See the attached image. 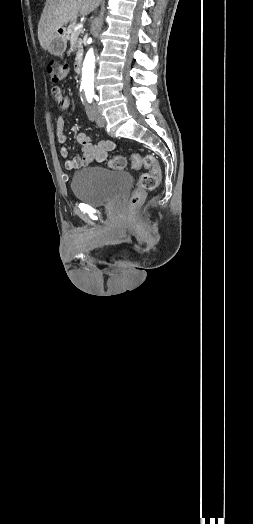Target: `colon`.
I'll return each instance as SVG.
<instances>
[{"instance_id": "colon-1", "label": "colon", "mask_w": 253, "mask_h": 524, "mask_svg": "<svg viewBox=\"0 0 253 524\" xmlns=\"http://www.w3.org/2000/svg\"><path fill=\"white\" fill-rule=\"evenodd\" d=\"M47 71L52 81L58 83L68 75L69 67L60 62H50L47 66ZM129 163L133 169H139L142 166L148 169L140 176L137 187L131 194L129 205L133 207L142 201L146 192L158 186L161 174L158 163L153 156L142 158L139 153H133L130 156ZM126 164L127 161L123 156H114L109 161V166L115 170L123 169Z\"/></svg>"}]
</instances>
